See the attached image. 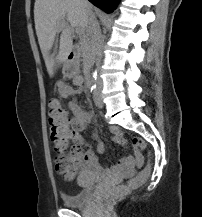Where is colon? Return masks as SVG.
<instances>
[{"label": "colon", "mask_w": 202, "mask_h": 217, "mask_svg": "<svg viewBox=\"0 0 202 217\" xmlns=\"http://www.w3.org/2000/svg\"><path fill=\"white\" fill-rule=\"evenodd\" d=\"M48 125L50 140L57 156L56 170L66 179H72L79 165L78 156L80 155V144L74 140V142L69 145L66 113L61 102L56 98L52 99L49 103ZM133 146L135 149H145L146 143L141 138H134ZM150 175V167H144L140 174L131 179L127 184L115 186L113 190L103 198V202L110 203L130 189L141 186L150 178Z\"/></svg>", "instance_id": "1"}]
</instances>
